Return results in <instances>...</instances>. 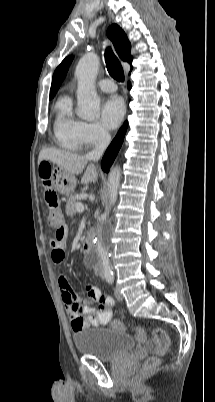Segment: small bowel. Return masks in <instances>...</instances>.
<instances>
[{
    "label": "small bowel",
    "instance_id": "small-bowel-1",
    "mask_svg": "<svg viewBox=\"0 0 215 402\" xmlns=\"http://www.w3.org/2000/svg\"><path fill=\"white\" fill-rule=\"evenodd\" d=\"M67 236V228L60 226L56 230L55 237L50 240L51 259L55 265H60L65 259ZM57 275L61 298L65 304L73 331L76 332L91 326L106 325L110 322L111 308L114 305L112 297L103 296L99 288L90 285L86 286L85 294L77 295L59 269H57ZM94 304H97L98 307L95 308Z\"/></svg>",
    "mask_w": 215,
    "mask_h": 402
}]
</instances>
